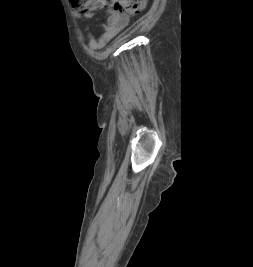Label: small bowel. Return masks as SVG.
<instances>
[{"mask_svg": "<svg viewBox=\"0 0 253 267\" xmlns=\"http://www.w3.org/2000/svg\"><path fill=\"white\" fill-rule=\"evenodd\" d=\"M90 17L91 14H87ZM129 23V16L126 14H120L113 11L109 12V16L104 24H102L103 32L98 36H94L90 33V27H87L89 32V47L92 50H100L105 45L116 37Z\"/></svg>", "mask_w": 253, "mask_h": 267, "instance_id": "obj_1", "label": "small bowel"}]
</instances>
